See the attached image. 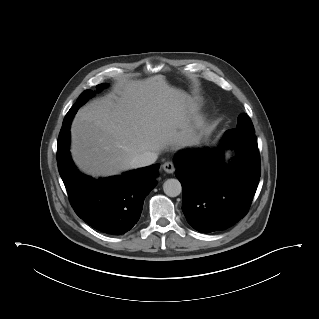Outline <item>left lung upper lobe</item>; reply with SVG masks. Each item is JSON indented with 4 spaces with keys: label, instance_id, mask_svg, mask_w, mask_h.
I'll return each mask as SVG.
<instances>
[{
    "label": "left lung upper lobe",
    "instance_id": "5c2ea615",
    "mask_svg": "<svg viewBox=\"0 0 319 319\" xmlns=\"http://www.w3.org/2000/svg\"><path fill=\"white\" fill-rule=\"evenodd\" d=\"M236 129L247 131V132H254V127L249 116H247L246 114H241L238 117V124Z\"/></svg>",
    "mask_w": 319,
    "mask_h": 319
}]
</instances>
